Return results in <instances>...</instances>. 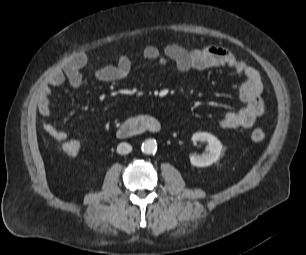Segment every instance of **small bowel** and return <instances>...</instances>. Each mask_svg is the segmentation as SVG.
<instances>
[{
  "label": "small bowel",
  "mask_w": 306,
  "mask_h": 255,
  "mask_svg": "<svg viewBox=\"0 0 306 255\" xmlns=\"http://www.w3.org/2000/svg\"><path fill=\"white\" fill-rule=\"evenodd\" d=\"M146 60L166 65L173 62L178 72L186 74L192 70H207L212 68H230L244 76L239 89V99L243 106L237 110L226 112L218 121L223 129L249 128L265 110L262 98L263 87L257 70L238 59L230 50L214 45L187 49L171 42L163 49L155 45H147L143 49ZM87 64V56L83 53L72 57L61 69L51 73L36 97L37 109L41 116L50 114V97L54 88L66 82L77 90L82 85V69ZM132 70V61L125 55L118 56L115 64L97 68L94 77L101 82H115L126 78ZM43 130L58 141L67 139L68 134L49 122L43 123Z\"/></svg>",
  "instance_id": "1"
}]
</instances>
